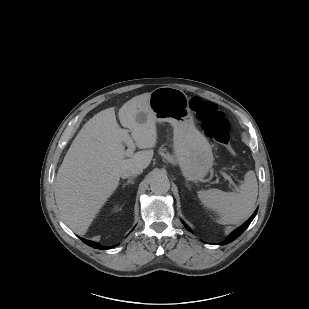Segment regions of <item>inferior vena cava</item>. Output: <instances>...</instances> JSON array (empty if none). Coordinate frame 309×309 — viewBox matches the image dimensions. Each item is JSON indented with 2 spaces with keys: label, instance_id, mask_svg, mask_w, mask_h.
<instances>
[{
  "label": "inferior vena cava",
  "instance_id": "inferior-vena-cava-1",
  "mask_svg": "<svg viewBox=\"0 0 309 309\" xmlns=\"http://www.w3.org/2000/svg\"><path fill=\"white\" fill-rule=\"evenodd\" d=\"M143 171L142 167H138V166H135V167H131L125 171L122 172L121 174V177L122 178H126V177H129V176H134V175H138V174H141Z\"/></svg>",
  "mask_w": 309,
  "mask_h": 309
}]
</instances>
